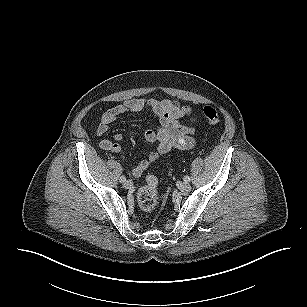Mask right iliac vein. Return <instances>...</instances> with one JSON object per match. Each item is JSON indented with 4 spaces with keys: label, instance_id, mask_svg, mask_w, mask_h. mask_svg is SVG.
I'll return each mask as SVG.
<instances>
[{
    "label": "right iliac vein",
    "instance_id": "1",
    "mask_svg": "<svg viewBox=\"0 0 307 307\" xmlns=\"http://www.w3.org/2000/svg\"><path fill=\"white\" fill-rule=\"evenodd\" d=\"M123 186H124V188H126V189H130V188L133 186V184H132L131 181H125V182L123 183Z\"/></svg>",
    "mask_w": 307,
    "mask_h": 307
}]
</instances>
